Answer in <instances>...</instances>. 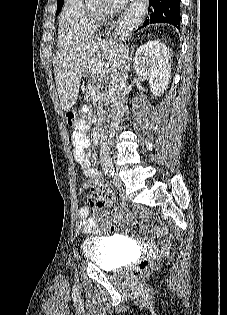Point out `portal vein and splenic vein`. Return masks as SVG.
Wrapping results in <instances>:
<instances>
[{"mask_svg":"<svg viewBox=\"0 0 227 315\" xmlns=\"http://www.w3.org/2000/svg\"><path fill=\"white\" fill-rule=\"evenodd\" d=\"M92 96L96 99H100L103 94H100L99 92L93 91Z\"/></svg>","mask_w":227,"mask_h":315,"instance_id":"18ae733b","label":"portal vein and splenic vein"}]
</instances>
